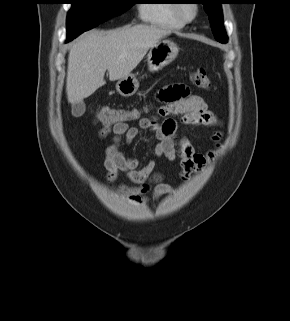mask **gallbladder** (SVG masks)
Segmentation results:
<instances>
[{
	"label": "gallbladder",
	"instance_id": "gallbladder-1",
	"mask_svg": "<svg viewBox=\"0 0 290 321\" xmlns=\"http://www.w3.org/2000/svg\"><path fill=\"white\" fill-rule=\"evenodd\" d=\"M72 115L74 117H80L85 112V103L84 102H78V103H72Z\"/></svg>",
	"mask_w": 290,
	"mask_h": 321
}]
</instances>
